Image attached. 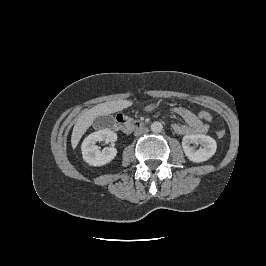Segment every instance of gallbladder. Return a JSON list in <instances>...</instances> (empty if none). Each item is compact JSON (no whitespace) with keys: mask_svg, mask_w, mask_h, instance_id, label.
I'll return each mask as SVG.
<instances>
[{"mask_svg":"<svg viewBox=\"0 0 266 266\" xmlns=\"http://www.w3.org/2000/svg\"><path fill=\"white\" fill-rule=\"evenodd\" d=\"M113 124L114 118L111 115L99 116L93 122L96 128L112 127Z\"/></svg>","mask_w":266,"mask_h":266,"instance_id":"obj_1","label":"gallbladder"}]
</instances>
